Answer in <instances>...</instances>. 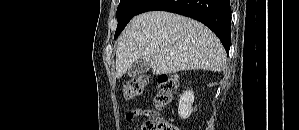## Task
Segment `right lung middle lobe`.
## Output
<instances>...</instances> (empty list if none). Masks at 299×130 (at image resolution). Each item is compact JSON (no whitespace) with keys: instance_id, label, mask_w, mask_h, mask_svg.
<instances>
[{"instance_id":"1","label":"right lung middle lobe","mask_w":299,"mask_h":130,"mask_svg":"<svg viewBox=\"0 0 299 130\" xmlns=\"http://www.w3.org/2000/svg\"><path fill=\"white\" fill-rule=\"evenodd\" d=\"M147 2V0H121L117 8L118 26L115 32V38L121 33L127 23L135 16L138 10Z\"/></svg>"}]
</instances>
